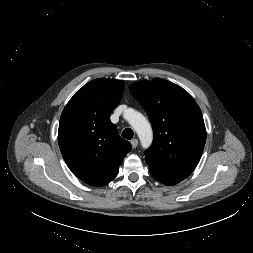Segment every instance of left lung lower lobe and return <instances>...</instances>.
Listing matches in <instances>:
<instances>
[{
    "label": "left lung lower lobe",
    "instance_id": "left-lung-lower-lobe-1",
    "mask_svg": "<svg viewBox=\"0 0 253 253\" xmlns=\"http://www.w3.org/2000/svg\"><path fill=\"white\" fill-rule=\"evenodd\" d=\"M149 168L152 177L165 185H175L183 180V178L181 177L162 172L156 168L153 167Z\"/></svg>",
    "mask_w": 253,
    "mask_h": 253
}]
</instances>
